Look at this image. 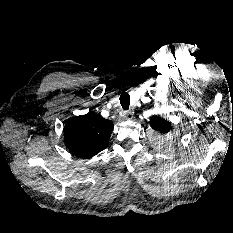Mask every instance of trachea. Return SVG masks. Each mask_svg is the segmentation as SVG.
<instances>
[{
  "mask_svg": "<svg viewBox=\"0 0 233 233\" xmlns=\"http://www.w3.org/2000/svg\"><path fill=\"white\" fill-rule=\"evenodd\" d=\"M120 104L124 110L129 109L130 105V96L127 92H123L120 96Z\"/></svg>",
  "mask_w": 233,
  "mask_h": 233,
  "instance_id": "obj_1",
  "label": "trachea"
}]
</instances>
